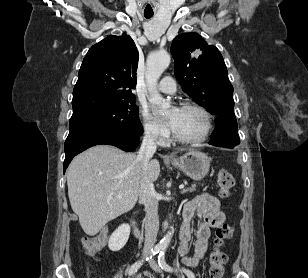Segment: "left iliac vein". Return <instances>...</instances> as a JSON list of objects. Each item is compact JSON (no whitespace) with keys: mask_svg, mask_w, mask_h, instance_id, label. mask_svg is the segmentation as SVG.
Masks as SVG:
<instances>
[{"mask_svg":"<svg viewBox=\"0 0 308 278\" xmlns=\"http://www.w3.org/2000/svg\"><path fill=\"white\" fill-rule=\"evenodd\" d=\"M149 265L155 272H161L160 267L154 259L149 260Z\"/></svg>","mask_w":308,"mask_h":278,"instance_id":"4c4485c4","label":"left iliac vein"}]
</instances>
